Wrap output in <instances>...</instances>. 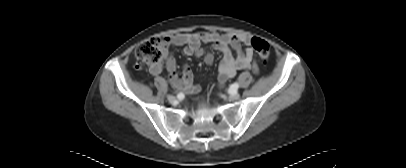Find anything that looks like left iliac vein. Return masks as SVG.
I'll list each match as a JSON object with an SVG mask.
<instances>
[{"instance_id": "left-iliac-vein-1", "label": "left iliac vein", "mask_w": 406, "mask_h": 168, "mask_svg": "<svg viewBox=\"0 0 406 168\" xmlns=\"http://www.w3.org/2000/svg\"><path fill=\"white\" fill-rule=\"evenodd\" d=\"M239 98H240V94L237 91L230 93V95H229V100H231V101L238 100Z\"/></svg>"}]
</instances>
